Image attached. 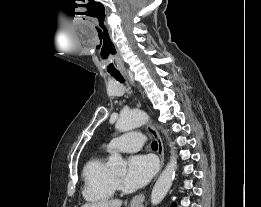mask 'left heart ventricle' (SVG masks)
Here are the masks:
<instances>
[{"label": "left heart ventricle", "mask_w": 261, "mask_h": 207, "mask_svg": "<svg viewBox=\"0 0 261 207\" xmlns=\"http://www.w3.org/2000/svg\"><path fill=\"white\" fill-rule=\"evenodd\" d=\"M125 174V171L124 170H120V171H116L115 172V175L119 178H122Z\"/></svg>", "instance_id": "obj_1"}]
</instances>
